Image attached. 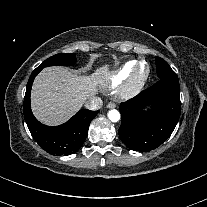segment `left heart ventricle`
<instances>
[{
  "label": "left heart ventricle",
  "mask_w": 207,
  "mask_h": 207,
  "mask_svg": "<svg viewBox=\"0 0 207 207\" xmlns=\"http://www.w3.org/2000/svg\"><path fill=\"white\" fill-rule=\"evenodd\" d=\"M144 70H145V67L142 65L138 68V73L143 74Z\"/></svg>",
  "instance_id": "left-heart-ventricle-1"
}]
</instances>
